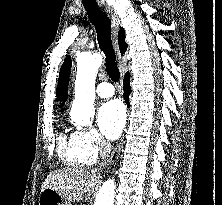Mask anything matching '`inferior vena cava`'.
<instances>
[{
	"mask_svg": "<svg viewBox=\"0 0 222 205\" xmlns=\"http://www.w3.org/2000/svg\"><path fill=\"white\" fill-rule=\"evenodd\" d=\"M110 152H111V144L109 142H103V146H102V150H101V156L108 158L109 155H110ZM105 164H103V166Z\"/></svg>",
	"mask_w": 222,
	"mask_h": 205,
	"instance_id": "602c4592",
	"label": "inferior vena cava"
}]
</instances>
